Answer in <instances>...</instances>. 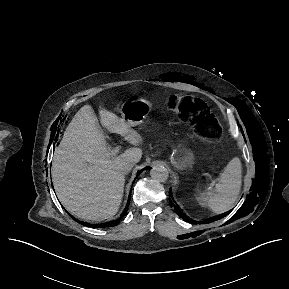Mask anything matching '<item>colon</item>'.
Instances as JSON below:
<instances>
[{"mask_svg":"<svg viewBox=\"0 0 289 289\" xmlns=\"http://www.w3.org/2000/svg\"><path fill=\"white\" fill-rule=\"evenodd\" d=\"M170 102L175 111L191 124L196 134L211 142L218 139L215 120L202 99L175 95L171 96Z\"/></svg>","mask_w":289,"mask_h":289,"instance_id":"5ec220e1","label":"colon"}]
</instances>
